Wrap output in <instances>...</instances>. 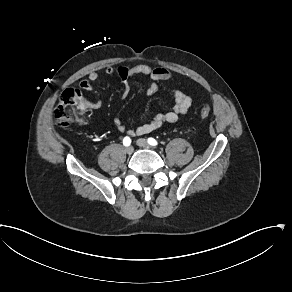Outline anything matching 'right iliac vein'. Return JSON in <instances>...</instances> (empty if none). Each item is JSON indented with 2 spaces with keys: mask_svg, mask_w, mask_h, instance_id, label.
<instances>
[{
  "mask_svg": "<svg viewBox=\"0 0 292 292\" xmlns=\"http://www.w3.org/2000/svg\"><path fill=\"white\" fill-rule=\"evenodd\" d=\"M133 150H134V149H133L132 146H128V147L125 148V152H126L127 154H129V155L133 153Z\"/></svg>",
  "mask_w": 292,
  "mask_h": 292,
  "instance_id": "right-iliac-vein-1",
  "label": "right iliac vein"
}]
</instances>
